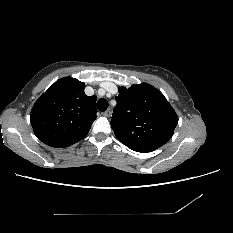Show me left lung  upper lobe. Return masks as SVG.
I'll list each match as a JSON object with an SVG mask.
<instances>
[{"mask_svg": "<svg viewBox=\"0 0 233 233\" xmlns=\"http://www.w3.org/2000/svg\"><path fill=\"white\" fill-rule=\"evenodd\" d=\"M115 99L111 126L124 145L146 153L170 140L178 117L158 89L146 83L120 87Z\"/></svg>", "mask_w": 233, "mask_h": 233, "instance_id": "5c2ea615", "label": "left lung upper lobe"}]
</instances>
